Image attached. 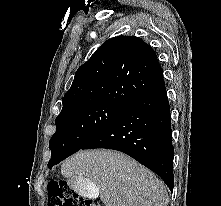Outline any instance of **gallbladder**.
<instances>
[{"instance_id": "gallbladder-1", "label": "gallbladder", "mask_w": 221, "mask_h": 206, "mask_svg": "<svg viewBox=\"0 0 221 206\" xmlns=\"http://www.w3.org/2000/svg\"><path fill=\"white\" fill-rule=\"evenodd\" d=\"M68 181L74 194H79V198H98L99 190L96 185H92V181Z\"/></svg>"}]
</instances>
